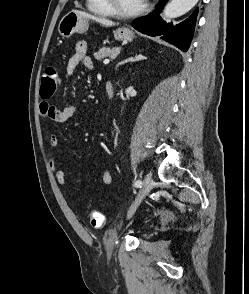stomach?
Listing matches in <instances>:
<instances>
[{"instance_id": "0dacf381", "label": "stomach", "mask_w": 249, "mask_h": 294, "mask_svg": "<svg viewBox=\"0 0 249 294\" xmlns=\"http://www.w3.org/2000/svg\"><path fill=\"white\" fill-rule=\"evenodd\" d=\"M88 19L79 15L76 11H70L60 20L58 32L63 38H69L75 33H84L88 30ZM134 33L127 27H121L114 31V38L118 41H131Z\"/></svg>"}]
</instances>
